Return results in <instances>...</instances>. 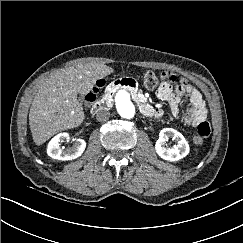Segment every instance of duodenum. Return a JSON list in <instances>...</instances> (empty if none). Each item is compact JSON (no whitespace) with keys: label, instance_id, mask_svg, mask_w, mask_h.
Returning <instances> with one entry per match:
<instances>
[{"label":"duodenum","instance_id":"1","mask_svg":"<svg viewBox=\"0 0 243 243\" xmlns=\"http://www.w3.org/2000/svg\"><path fill=\"white\" fill-rule=\"evenodd\" d=\"M118 88L127 89L131 92L133 99L138 103L140 111L143 115H155V109L144 101V99L138 93L134 81L127 78L118 80L114 82L112 85H110L105 95L100 100L93 103L91 109L92 113L96 114L101 110L110 107L113 102L112 92Z\"/></svg>","mask_w":243,"mask_h":243}]
</instances>
